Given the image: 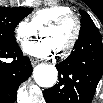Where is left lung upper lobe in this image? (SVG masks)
<instances>
[{"mask_svg": "<svg viewBox=\"0 0 103 103\" xmlns=\"http://www.w3.org/2000/svg\"><path fill=\"white\" fill-rule=\"evenodd\" d=\"M80 14L82 16V18H81L80 35H82L86 31L97 29L95 24H94V22L92 21L90 16L85 11L80 10Z\"/></svg>", "mask_w": 103, "mask_h": 103, "instance_id": "1", "label": "left lung upper lobe"}]
</instances>
